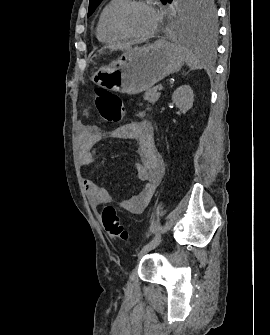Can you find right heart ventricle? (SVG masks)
I'll return each instance as SVG.
<instances>
[{
	"label": "right heart ventricle",
	"mask_w": 270,
	"mask_h": 335,
	"mask_svg": "<svg viewBox=\"0 0 270 335\" xmlns=\"http://www.w3.org/2000/svg\"><path fill=\"white\" fill-rule=\"evenodd\" d=\"M128 1L125 0H109L102 8L97 22L96 37L104 44L117 43L124 39L117 34L112 27L111 18L116 9Z\"/></svg>",
	"instance_id": "right-heart-ventricle-1"
}]
</instances>
